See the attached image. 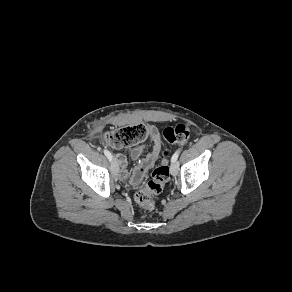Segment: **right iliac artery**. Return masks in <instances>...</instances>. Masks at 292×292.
I'll use <instances>...</instances> for the list:
<instances>
[{
  "label": "right iliac artery",
  "mask_w": 292,
  "mask_h": 292,
  "mask_svg": "<svg viewBox=\"0 0 292 292\" xmlns=\"http://www.w3.org/2000/svg\"><path fill=\"white\" fill-rule=\"evenodd\" d=\"M103 152H104L105 156L109 159V161H112V155H111V153L108 150H106V149Z\"/></svg>",
  "instance_id": "obj_1"
}]
</instances>
